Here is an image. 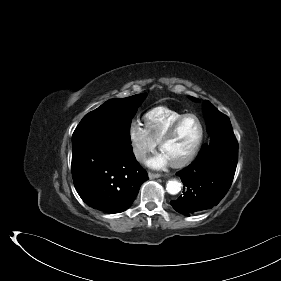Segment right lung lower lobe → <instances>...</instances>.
<instances>
[{
  "label": "right lung lower lobe",
  "instance_id": "right-lung-lower-lobe-1",
  "mask_svg": "<svg viewBox=\"0 0 281 281\" xmlns=\"http://www.w3.org/2000/svg\"><path fill=\"white\" fill-rule=\"evenodd\" d=\"M72 177L76 191L90 207L120 213L134 201L148 180L132 147H88L72 152Z\"/></svg>",
  "mask_w": 281,
  "mask_h": 281
}]
</instances>
